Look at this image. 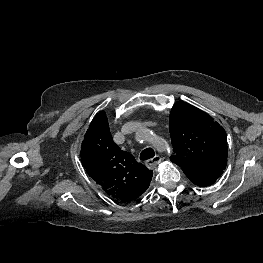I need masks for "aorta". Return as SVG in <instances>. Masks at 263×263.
Returning a JSON list of instances; mask_svg holds the SVG:
<instances>
[{
	"label": "aorta",
	"instance_id": "1",
	"mask_svg": "<svg viewBox=\"0 0 263 263\" xmlns=\"http://www.w3.org/2000/svg\"><path fill=\"white\" fill-rule=\"evenodd\" d=\"M138 135L143 136V137H145V138L151 137L150 131H149L148 129H141V130L138 132Z\"/></svg>",
	"mask_w": 263,
	"mask_h": 263
}]
</instances>
